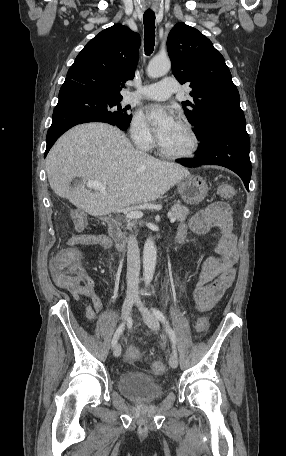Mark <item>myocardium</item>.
I'll use <instances>...</instances> for the list:
<instances>
[{"label":"myocardium","instance_id":"1","mask_svg":"<svg viewBox=\"0 0 286 456\" xmlns=\"http://www.w3.org/2000/svg\"><path fill=\"white\" fill-rule=\"evenodd\" d=\"M179 125L182 126L186 131L187 133L189 134V136L191 137V140H192V144H191V147L188 151L186 152H183V153H173V152H169L167 151L161 144V142L159 141L158 142V151L159 153L166 157V158H169V159H174V160H179V159H187V158H191L193 157L197 152L198 150L200 149V146H201V139H200V136L197 132V130L194 128V126L192 124H190L189 122H185V121H181L179 122Z\"/></svg>","mask_w":286,"mask_h":456}]
</instances>
